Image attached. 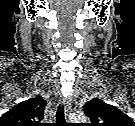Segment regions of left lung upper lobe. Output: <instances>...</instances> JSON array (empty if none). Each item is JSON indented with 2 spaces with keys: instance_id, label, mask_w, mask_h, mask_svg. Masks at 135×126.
<instances>
[{
  "instance_id": "5c2ea615",
  "label": "left lung upper lobe",
  "mask_w": 135,
  "mask_h": 126,
  "mask_svg": "<svg viewBox=\"0 0 135 126\" xmlns=\"http://www.w3.org/2000/svg\"><path fill=\"white\" fill-rule=\"evenodd\" d=\"M83 109L91 120L90 126H135L128 115L99 98L88 101Z\"/></svg>"
}]
</instances>
